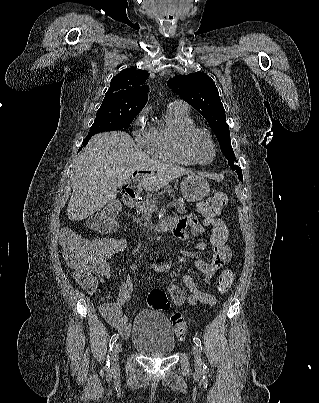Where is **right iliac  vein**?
I'll return each mask as SVG.
<instances>
[{
  "label": "right iliac vein",
  "mask_w": 319,
  "mask_h": 403,
  "mask_svg": "<svg viewBox=\"0 0 319 403\" xmlns=\"http://www.w3.org/2000/svg\"><path fill=\"white\" fill-rule=\"evenodd\" d=\"M122 350V344L120 342L114 345L111 355V367L112 371H116L119 366V354Z\"/></svg>",
  "instance_id": "right-iliac-vein-1"
}]
</instances>
